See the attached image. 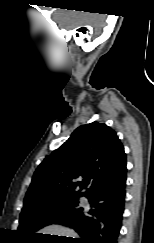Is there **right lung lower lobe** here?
Segmentation results:
<instances>
[{
    "label": "right lung lower lobe",
    "instance_id": "obj_1",
    "mask_svg": "<svg viewBox=\"0 0 154 243\" xmlns=\"http://www.w3.org/2000/svg\"><path fill=\"white\" fill-rule=\"evenodd\" d=\"M126 166L97 183L86 195L91 209L81 208L56 224L73 228L80 238L69 243H117L125 202Z\"/></svg>",
    "mask_w": 154,
    "mask_h": 243
}]
</instances>
